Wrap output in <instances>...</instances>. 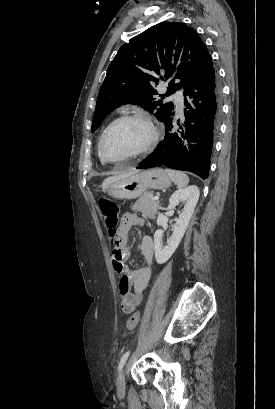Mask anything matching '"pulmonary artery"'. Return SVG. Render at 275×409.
I'll use <instances>...</instances> for the list:
<instances>
[{"mask_svg": "<svg viewBox=\"0 0 275 409\" xmlns=\"http://www.w3.org/2000/svg\"><path fill=\"white\" fill-rule=\"evenodd\" d=\"M170 98L174 99L175 105H176V107H177L178 112H179V113H182L183 104H184V98H183L182 93H181V92H177V93L171 95Z\"/></svg>", "mask_w": 275, "mask_h": 409, "instance_id": "pulmonary-artery-1", "label": "pulmonary artery"}]
</instances>
